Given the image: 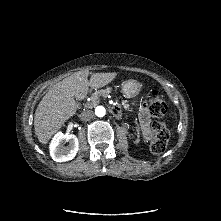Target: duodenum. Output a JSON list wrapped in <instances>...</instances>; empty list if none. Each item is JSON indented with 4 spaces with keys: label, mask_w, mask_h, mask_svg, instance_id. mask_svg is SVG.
<instances>
[{
    "label": "duodenum",
    "mask_w": 221,
    "mask_h": 221,
    "mask_svg": "<svg viewBox=\"0 0 221 221\" xmlns=\"http://www.w3.org/2000/svg\"><path fill=\"white\" fill-rule=\"evenodd\" d=\"M112 110L115 112L116 110L114 108H112Z\"/></svg>",
    "instance_id": "410a0bca"
}]
</instances>
